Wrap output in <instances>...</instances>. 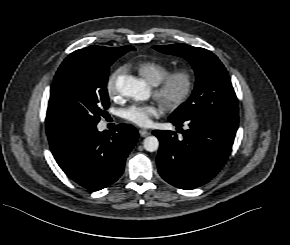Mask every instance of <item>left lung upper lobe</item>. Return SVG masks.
I'll return each instance as SVG.
<instances>
[{"mask_svg":"<svg viewBox=\"0 0 290 245\" xmlns=\"http://www.w3.org/2000/svg\"><path fill=\"white\" fill-rule=\"evenodd\" d=\"M153 48L185 58L196 74L192 95L170 115V119L182 120L204 111L222 119L238 121V100L228 72L212 52L182 43Z\"/></svg>","mask_w":290,"mask_h":245,"instance_id":"1","label":"left lung upper lobe"}]
</instances>
